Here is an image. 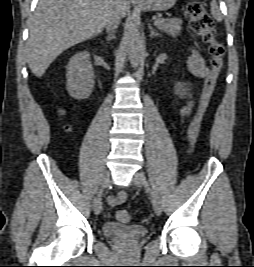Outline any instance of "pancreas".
<instances>
[{"label":"pancreas","mask_w":254,"mask_h":267,"mask_svg":"<svg viewBox=\"0 0 254 267\" xmlns=\"http://www.w3.org/2000/svg\"><path fill=\"white\" fill-rule=\"evenodd\" d=\"M181 24L182 20L179 18L168 19L165 20V22L158 25V28L167 34L176 37L180 33Z\"/></svg>","instance_id":"obj_1"}]
</instances>
